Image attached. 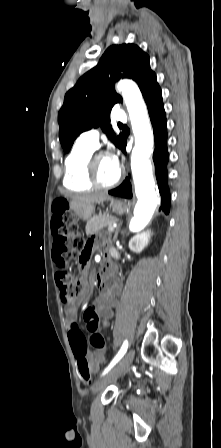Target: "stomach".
Masks as SVG:
<instances>
[{
    "label": "stomach",
    "instance_id": "obj_1",
    "mask_svg": "<svg viewBox=\"0 0 221 448\" xmlns=\"http://www.w3.org/2000/svg\"><path fill=\"white\" fill-rule=\"evenodd\" d=\"M69 207H70V209H73L75 214L82 220H89L94 211V206L74 208L72 206V204L70 203ZM110 207L112 208V211L114 213L123 214L128 210L129 205L126 201L111 198L110 199Z\"/></svg>",
    "mask_w": 221,
    "mask_h": 448
}]
</instances>
